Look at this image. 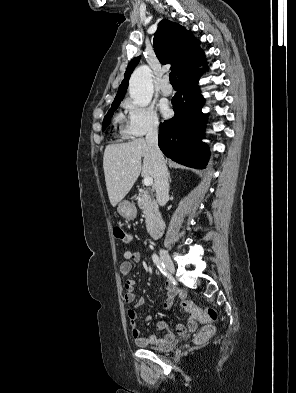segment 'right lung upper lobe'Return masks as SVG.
Instances as JSON below:
<instances>
[{
    "label": "right lung upper lobe",
    "instance_id": "right-lung-upper-lobe-1",
    "mask_svg": "<svg viewBox=\"0 0 296 393\" xmlns=\"http://www.w3.org/2000/svg\"><path fill=\"white\" fill-rule=\"evenodd\" d=\"M199 44L200 41L195 39L189 31L169 20H162L154 34L157 57L162 64L170 63L171 69L176 71L177 76L200 56L202 50ZM139 59L140 57H136L129 63L114 101L123 99L130 75Z\"/></svg>",
    "mask_w": 296,
    "mask_h": 393
}]
</instances>
